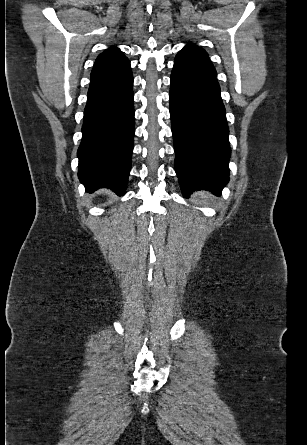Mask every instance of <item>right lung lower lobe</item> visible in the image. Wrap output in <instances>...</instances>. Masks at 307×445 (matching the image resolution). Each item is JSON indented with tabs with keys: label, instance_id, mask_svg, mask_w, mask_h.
Returning a JSON list of instances; mask_svg holds the SVG:
<instances>
[{
	"label": "right lung lower lobe",
	"instance_id": "right-lung-lower-lobe-1",
	"mask_svg": "<svg viewBox=\"0 0 307 445\" xmlns=\"http://www.w3.org/2000/svg\"><path fill=\"white\" fill-rule=\"evenodd\" d=\"M130 62L91 77L78 149V176L88 192L107 187L125 193L134 136Z\"/></svg>",
	"mask_w": 307,
	"mask_h": 445
}]
</instances>
